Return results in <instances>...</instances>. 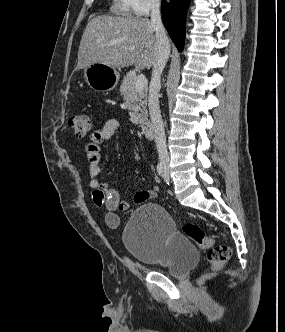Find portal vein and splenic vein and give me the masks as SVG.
Returning <instances> with one entry per match:
<instances>
[{
	"label": "portal vein and splenic vein",
	"mask_w": 285,
	"mask_h": 332,
	"mask_svg": "<svg viewBox=\"0 0 285 332\" xmlns=\"http://www.w3.org/2000/svg\"><path fill=\"white\" fill-rule=\"evenodd\" d=\"M147 86V79L144 75H139L135 83V88L137 90H143Z\"/></svg>",
	"instance_id": "1"
}]
</instances>
